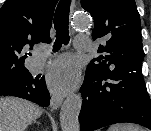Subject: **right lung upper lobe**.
<instances>
[{
  "instance_id": "cb5924a9",
  "label": "right lung upper lobe",
  "mask_w": 151,
  "mask_h": 131,
  "mask_svg": "<svg viewBox=\"0 0 151 131\" xmlns=\"http://www.w3.org/2000/svg\"><path fill=\"white\" fill-rule=\"evenodd\" d=\"M56 3L57 0H6L0 9V80L28 71L24 66L28 47L50 43Z\"/></svg>"
}]
</instances>
